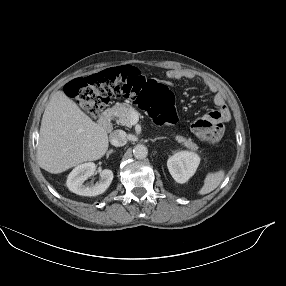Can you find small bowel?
Returning <instances> with one entry per match:
<instances>
[{
  "mask_svg": "<svg viewBox=\"0 0 286 286\" xmlns=\"http://www.w3.org/2000/svg\"><path fill=\"white\" fill-rule=\"evenodd\" d=\"M166 77L170 81H176V80H181V79H188V80H196L199 79V77L191 70H186V69H170L166 72ZM206 88L213 94V102L217 107V110H213V113H218L219 116L221 117L222 121H228L230 118V113L229 109L225 103L224 97L220 92L217 91V88L206 81H203ZM201 118V117H200ZM198 120V119H197ZM201 140L208 142V143H214L217 138L213 135L205 134L198 136Z\"/></svg>",
  "mask_w": 286,
  "mask_h": 286,
  "instance_id": "1",
  "label": "small bowel"
}]
</instances>
